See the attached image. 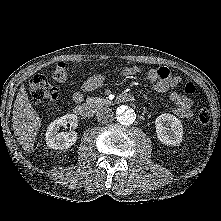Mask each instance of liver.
<instances>
[{"instance_id": "liver-1", "label": "liver", "mask_w": 221, "mask_h": 221, "mask_svg": "<svg viewBox=\"0 0 221 221\" xmlns=\"http://www.w3.org/2000/svg\"><path fill=\"white\" fill-rule=\"evenodd\" d=\"M12 114L14 134L22 148L31 152L41 127V118L29 102L23 85L17 93Z\"/></svg>"}]
</instances>
